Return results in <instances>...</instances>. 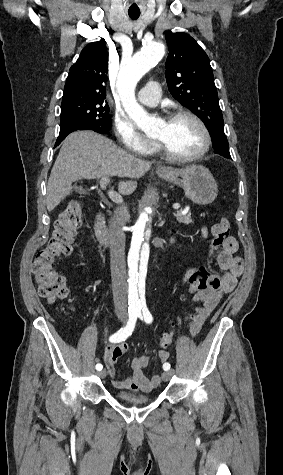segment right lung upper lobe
<instances>
[{"label":"right lung upper lobe","mask_w":283,"mask_h":475,"mask_svg":"<svg viewBox=\"0 0 283 475\" xmlns=\"http://www.w3.org/2000/svg\"><path fill=\"white\" fill-rule=\"evenodd\" d=\"M105 42H93L70 68L63 96H106L108 55Z\"/></svg>","instance_id":"1"}]
</instances>
